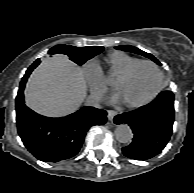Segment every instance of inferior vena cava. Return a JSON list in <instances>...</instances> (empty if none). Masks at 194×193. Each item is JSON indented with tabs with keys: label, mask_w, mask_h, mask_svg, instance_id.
Wrapping results in <instances>:
<instances>
[{
	"label": "inferior vena cava",
	"mask_w": 194,
	"mask_h": 193,
	"mask_svg": "<svg viewBox=\"0 0 194 193\" xmlns=\"http://www.w3.org/2000/svg\"><path fill=\"white\" fill-rule=\"evenodd\" d=\"M101 100H102V95L99 93H95L90 95V97L87 99V103L94 107L99 108L100 107L99 102Z\"/></svg>",
	"instance_id": "obj_1"
}]
</instances>
